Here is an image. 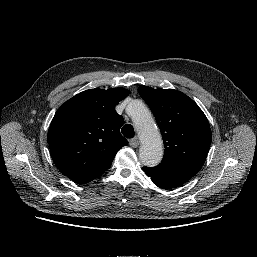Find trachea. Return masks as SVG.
Instances as JSON below:
<instances>
[{
  "mask_svg": "<svg viewBox=\"0 0 257 257\" xmlns=\"http://www.w3.org/2000/svg\"><path fill=\"white\" fill-rule=\"evenodd\" d=\"M122 134L126 137V138H133L134 137V128L132 125L130 124H126L123 126L122 130H121Z\"/></svg>",
  "mask_w": 257,
  "mask_h": 257,
  "instance_id": "3493384b",
  "label": "trachea"
}]
</instances>
